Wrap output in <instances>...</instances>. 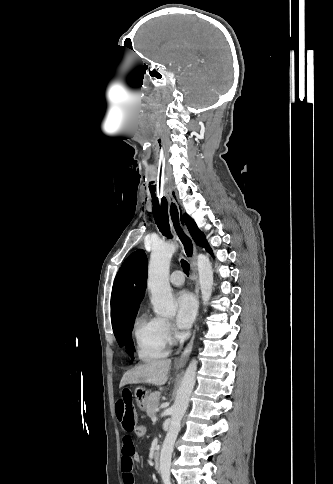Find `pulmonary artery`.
Wrapping results in <instances>:
<instances>
[{"label":"pulmonary artery","instance_id":"obj_1","mask_svg":"<svg viewBox=\"0 0 333 484\" xmlns=\"http://www.w3.org/2000/svg\"><path fill=\"white\" fill-rule=\"evenodd\" d=\"M169 280L172 285L179 287L184 283L183 273L179 270H175L171 273Z\"/></svg>","mask_w":333,"mask_h":484}]
</instances>
